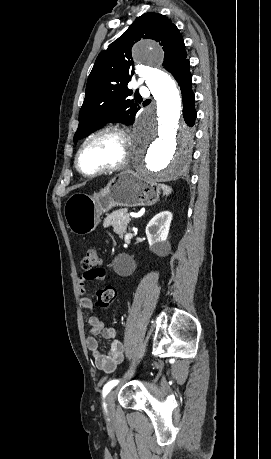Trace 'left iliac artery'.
Returning <instances> with one entry per match:
<instances>
[{
    "mask_svg": "<svg viewBox=\"0 0 271 459\" xmlns=\"http://www.w3.org/2000/svg\"><path fill=\"white\" fill-rule=\"evenodd\" d=\"M118 382V380H111L107 384H105V386L103 387V397H105L110 392V390L118 384ZM104 407H106L105 403Z\"/></svg>",
    "mask_w": 271,
    "mask_h": 459,
    "instance_id": "1",
    "label": "left iliac artery"
}]
</instances>
